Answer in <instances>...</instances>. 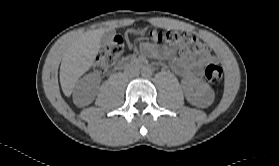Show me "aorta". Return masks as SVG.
<instances>
[{
	"label": "aorta",
	"instance_id": "obj_1",
	"mask_svg": "<svg viewBox=\"0 0 279 166\" xmlns=\"http://www.w3.org/2000/svg\"><path fill=\"white\" fill-rule=\"evenodd\" d=\"M141 74L143 77H149L152 75V69L148 66H145L141 69Z\"/></svg>",
	"mask_w": 279,
	"mask_h": 166
}]
</instances>
